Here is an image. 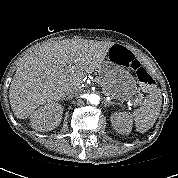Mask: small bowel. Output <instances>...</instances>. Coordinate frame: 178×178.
Returning a JSON list of instances; mask_svg holds the SVG:
<instances>
[{"instance_id":"1","label":"small bowel","mask_w":178,"mask_h":178,"mask_svg":"<svg viewBox=\"0 0 178 178\" xmlns=\"http://www.w3.org/2000/svg\"><path fill=\"white\" fill-rule=\"evenodd\" d=\"M118 52H119V60L120 61H131L133 55L131 54V52L125 48H118Z\"/></svg>"}]
</instances>
